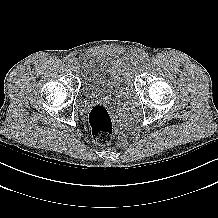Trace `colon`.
I'll use <instances>...</instances> for the list:
<instances>
[{
    "mask_svg": "<svg viewBox=\"0 0 218 218\" xmlns=\"http://www.w3.org/2000/svg\"><path fill=\"white\" fill-rule=\"evenodd\" d=\"M89 124L94 140L98 144H106L112 138L113 120L104 105L94 106L89 113Z\"/></svg>",
    "mask_w": 218,
    "mask_h": 218,
    "instance_id": "5ec220e1",
    "label": "colon"
}]
</instances>
